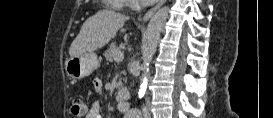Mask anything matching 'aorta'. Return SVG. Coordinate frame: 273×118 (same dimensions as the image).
Wrapping results in <instances>:
<instances>
[{"label": "aorta", "mask_w": 273, "mask_h": 118, "mask_svg": "<svg viewBox=\"0 0 273 118\" xmlns=\"http://www.w3.org/2000/svg\"><path fill=\"white\" fill-rule=\"evenodd\" d=\"M169 8L163 7L159 9L150 19L148 23L146 34L143 40L142 46V75L140 78L139 97L141 98L146 90L148 80V70L152 58L156 52L157 45L160 39V33L164 26V23L168 17Z\"/></svg>", "instance_id": "aorta-1"}]
</instances>
